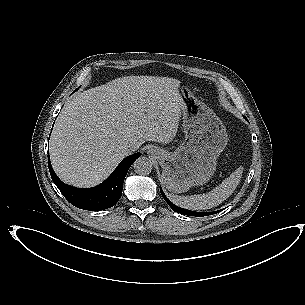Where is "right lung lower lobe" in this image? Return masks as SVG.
Returning <instances> with one entry per match:
<instances>
[{
	"mask_svg": "<svg viewBox=\"0 0 305 305\" xmlns=\"http://www.w3.org/2000/svg\"><path fill=\"white\" fill-rule=\"evenodd\" d=\"M139 156L140 153H136L126 157L102 184L88 189L64 184L54 173L49 156L48 166L53 182L72 205L84 210L99 211L110 208L118 202L127 171Z\"/></svg>",
	"mask_w": 305,
	"mask_h": 305,
	"instance_id": "1",
	"label": "right lung lower lobe"
}]
</instances>
